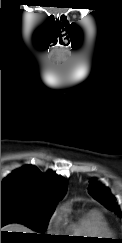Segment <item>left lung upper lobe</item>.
Segmentation results:
<instances>
[{
  "mask_svg": "<svg viewBox=\"0 0 122 243\" xmlns=\"http://www.w3.org/2000/svg\"><path fill=\"white\" fill-rule=\"evenodd\" d=\"M89 192L96 200H98L106 208L113 211L118 216L122 217V214L120 212V209L116 203L114 196L106 187L97 183L95 179L90 180Z\"/></svg>",
  "mask_w": 122,
  "mask_h": 243,
  "instance_id": "obj_1",
  "label": "left lung upper lobe"
}]
</instances>
